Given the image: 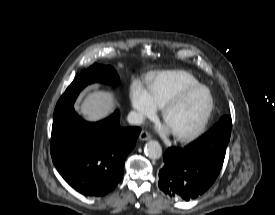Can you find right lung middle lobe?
<instances>
[{"instance_id": "1", "label": "right lung middle lobe", "mask_w": 275, "mask_h": 215, "mask_svg": "<svg viewBox=\"0 0 275 215\" xmlns=\"http://www.w3.org/2000/svg\"><path fill=\"white\" fill-rule=\"evenodd\" d=\"M119 77L115 69L111 66L94 64L88 70L80 75H76L73 82L66 89L64 94L57 102L55 111L73 105L79 92L87 85L93 82H103L115 85Z\"/></svg>"}]
</instances>
